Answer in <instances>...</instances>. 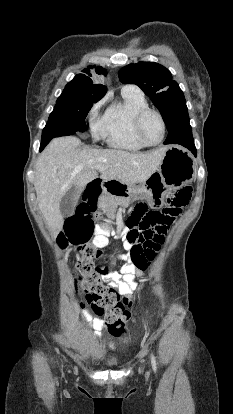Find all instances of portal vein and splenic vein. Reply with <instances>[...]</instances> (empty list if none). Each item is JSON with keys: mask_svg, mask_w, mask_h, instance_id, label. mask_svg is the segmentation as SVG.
<instances>
[{"mask_svg": "<svg viewBox=\"0 0 233 414\" xmlns=\"http://www.w3.org/2000/svg\"><path fill=\"white\" fill-rule=\"evenodd\" d=\"M97 170H98L99 172H101V171H103V168L98 167V168H97Z\"/></svg>", "mask_w": 233, "mask_h": 414, "instance_id": "18ae733b", "label": "portal vein and splenic vein"}]
</instances>
